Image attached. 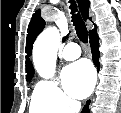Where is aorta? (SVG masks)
<instances>
[{"label":"aorta","instance_id":"762f6f07","mask_svg":"<svg viewBox=\"0 0 121 113\" xmlns=\"http://www.w3.org/2000/svg\"><path fill=\"white\" fill-rule=\"evenodd\" d=\"M59 44L60 34L56 27L45 29L34 43L33 63L38 74L45 79L55 74Z\"/></svg>","mask_w":121,"mask_h":113}]
</instances>
